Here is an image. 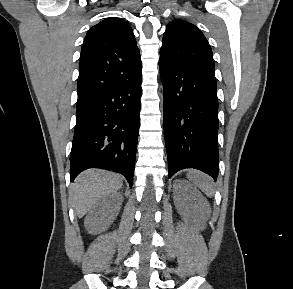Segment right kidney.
I'll use <instances>...</instances> for the list:
<instances>
[{
	"instance_id": "right-kidney-1",
	"label": "right kidney",
	"mask_w": 293,
	"mask_h": 289,
	"mask_svg": "<svg viewBox=\"0 0 293 289\" xmlns=\"http://www.w3.org/2000/svg\"><path fill=\"white\" fill-rule=\"evenodd\" d=\"M122 199L116 204L115 208L105 211V203H97L85 218V228L91 234H97L105 230L117 216Z\"/></svg>"
}]
</instances>
